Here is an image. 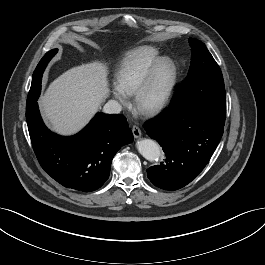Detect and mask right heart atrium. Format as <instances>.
I'll list each match as a JSON object with an SVG mask.
<instances>
[{"label":"right heart atrium","mask_w":265,"mask_h":265,"mask_svg":"<svg viewBox=\"0 0 265 265\" xmlns=\"http://www.w3.org/2000/svg\"><path fill=\"white\" fill-rule=\"evenodd\" d=\"M114 97L120 104H125L126 98L118 89L114 91Z\"/></svg>","instance_id":"d8ad5b80"}]
</instances>
